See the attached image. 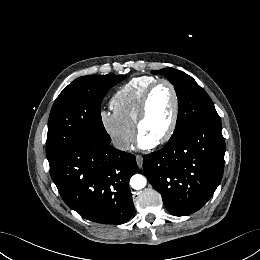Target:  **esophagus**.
I'll return each mask as SVG.
<instances>
[{
  "mask_svg": "<svg viewBox=\"0 0 260 260\" xmlns=\"http://www.w3.org/2000/svg\"><path fill=\"white\" fill-rule=\"evenodd\" d=\"M136 162L138 164V167L142 168V166H143V157L141 155H137L136 156Z\"/></svg>",
  "mask_w": 260,
  "mask_h": 260,
  "instance_id": "esophagus-1",
  "label": "esophagus"
}]
</instances>
